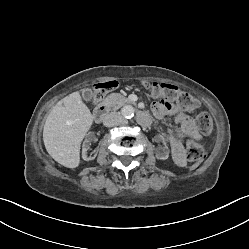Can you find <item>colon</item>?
Returning <instances> with one entry per match:
<instances>
[{
  "label": "colon",
  "instance_id": "colon-1",
  "mask_svg": "<svg viewBox=\"0 0 249 249\" xmlns=\"http://www.w3.org/2000/svg\"><path fill=\"white\" fill-rule=\"evenodd\" d=\"M117 85L116 81H107L98 84L96 86L94 101L99 102L102 100L106 92L115 89ZM142 85L153 97L164 99V102L168 105L176 103L189 110L198 108V102L192 95L172 84L143 81ZM195 125L202 134L208 135L213 129V120L207 112L201 111L195 117ZM186 155L190 162L199 163L206 155V148L188 139Z\"/></svg>",
  "mask_w": 249,
  "mask_h": 249
}]
</instances>
